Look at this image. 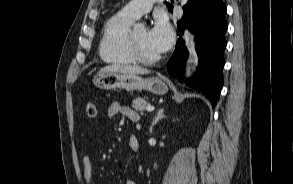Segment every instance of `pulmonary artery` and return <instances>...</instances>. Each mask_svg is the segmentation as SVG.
I'll return each mask as SVG.
<instances>
[{
    "label": "pulmonary artery",
    "instance_id": "obj_1",
    "mask_svg": "<svg viewBox=\"0 0 293 184\" xmlns=\"http://www.w3.org/2000/svg\"><path fill=\"white\" fill-rule=\"evenodd\" d=\"M162 0H131L122 9L127 15L138 19L143 14L149 12L155 2Z\"/></svg>",
    "mask_w": 293,
    "mask_h": 184
}]
</instances>
